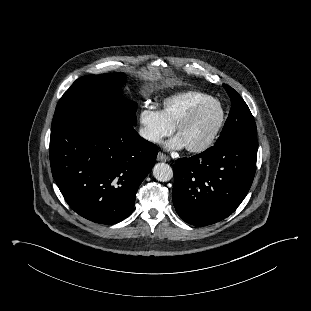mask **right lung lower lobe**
<instances>
[{
    "mask_svg": "<svg viewBox=\"0 0 311 311\" xmlns=\"http://www.w3.org/2000/svg\"><path fill=\"white\" fill-rule=\"evenodd\" d=\"M157 152L132 124L99 120L52 129L49 156L53 178L68 205L90 221L114 224L132 212Z\"/></svg>",
    "mask_w": 311,
    "mask_h": 311,
    "instance_id": "right-lung-lower-lobe-1",
    "label": "right lung lower lobe"
}]
</instances>
